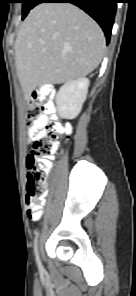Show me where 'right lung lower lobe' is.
<instances>
[{
	"mask_svg": "<svg viewBox=\"0 0 136 296\" xmlns=\"http://www.w3.org/2000/svg\"><path fill=\"white\" fill-rule=\"evenodd\" d=\"M118 2L119 0H40L39 3H72L80 7L101 26L109 43Z\"/></svg>",
	"mask_w": 136,
	"mask_h": 296,
	"instance_id": "right-lung-lower-lobe-1",
	"label": "right lung lower lobe"
}]
</instances>
